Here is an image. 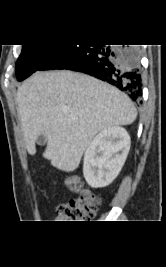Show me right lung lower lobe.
<instances>
[{"mask_svg": "<svg viewBox=\"0 0 166 267\" xmlns=\"http://www.w3.org/2000/svg\"><path fill=\"white\" fill-rule=\"evenodd\" d=\"M67 69L94 76L142 102L141 67L136 47L61 45L37 70Z\"/></svg>", "mask_w": 166, "mask_h": 267, "instance_id": "98d812e1", "label": "right lung lower lobe"}]
</instances>
